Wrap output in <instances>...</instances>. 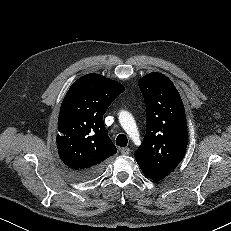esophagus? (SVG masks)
Segmentation results:
<instances>
[{
	"mask_svg": "<svg viewBox=\"0 0 231 231\" xmlns=\"http://www.w3.org/2000/svg\"><path fill=\"white\" fill-rule=\"evenodd\" d=\"M130 153V149L125 147L121 149V154L122 155H128Z\"/></svg>",
	"mask_w": 231,
	"mask_h": 231,
	"instance_id": "obj_1",
	"label": "esophagus"
}]
</instances>
